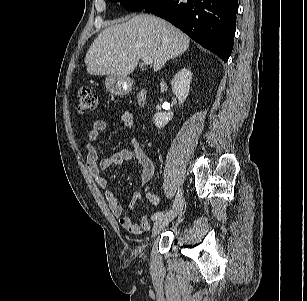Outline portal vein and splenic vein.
<instances>
[{"mask_svg": "<svg viewBox=\"0 0 307 301\" xmlns=\"http://www.w3.org/2000/svg\"><path fill=\"white\" fill-rule=\"evenodd\" d=\"M142 60L146 65H151L153 63V59L151 57H143Z\"/></svg>", "mask_w": 307, "mask_h": 301, "instance_id": "1", "label": "portal vein and splenic vein"}]
</instances>
